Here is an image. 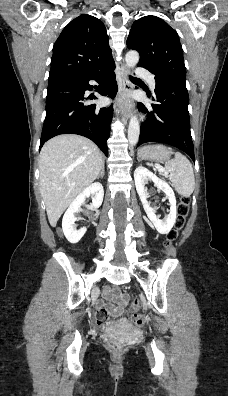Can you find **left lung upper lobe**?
Wrapping results in <instances>:
<instances>
[{
  "mask_svg": "<svg viewBox=\"0 0 228 396\" xmlns=\"http://www.w3.org/2000/svg\"><path fill=\"white\" fill-rule=\"evenodd\" d=\"M127 47L140 53L138 66L155 75V80L185 81L186 68L177 32L156 16L136 20L127 38Z\"/></svg>",
  "mask_w": 228,
  "mask_h": 396,
  "instance_id": "left-lung-upper-lobe-1",
  "label": "left lung upper lobe"
}]
</instances>
